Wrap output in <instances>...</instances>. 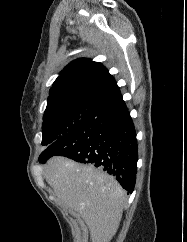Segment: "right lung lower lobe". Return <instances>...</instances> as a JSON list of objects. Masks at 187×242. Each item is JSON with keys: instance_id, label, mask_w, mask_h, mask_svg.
I'll use <instances>...</instances> for the list:
<instances>
[{"instance_id": "1", "label": "right lung lower lobe", "mask_w": 187, "mask_h": 242, "mask_svg": "<svg viewBox=\"0 0 187 242\" xmlns=\"http://www.w3.org/2000/svg\"><path fill=\"white\" fill-rule=\"evenodd\" d=\"M137 139L130 113L123 99L108 105L94 119L58 138L45 149L39 161L61 155L91 163L113 175L132 193L137 172Z\"/></svg>"}]
</instances>
